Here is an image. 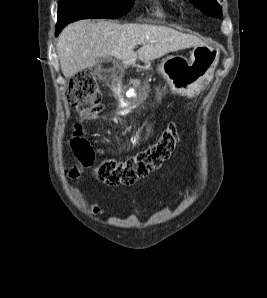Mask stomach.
<instances>
[{"instance_id":"0dacf381","label":"stomach","mask_w":267,"mask_h":298,"mask_svg":"<svg viewBox=\"0 0 267 298\" xmlns=\"http://www.w3.org/2000/svg\"><path fill=\"white\" fill-rule=\"evenodd\" d=\"M220 47L216 44L195 46L190 58L170 57L157 67L175 94L194 96L212 79L218 64ZM131 64L141 69L150 66L149 61L141 58L131 60Z\"/></svg>"}]
</instances>
